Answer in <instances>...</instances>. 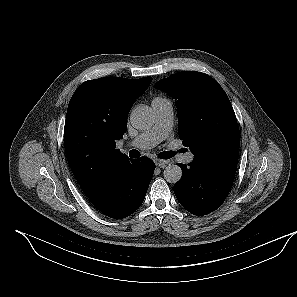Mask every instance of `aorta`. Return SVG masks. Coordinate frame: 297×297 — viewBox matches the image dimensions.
Wrapping results in <instances>:
<instances>
[{
    "label": "aorta",
    "mask_w": 297,
    "mask_h": 297,
    "mask_svg": "<svg viewBox=\"0 0 297 297\" xmlns=\"http://www.w3.org/2000/svg\"><path fill=\"white\" fill-rule=\"evenodd\" d=\"M130 121L134 128L145 130L154 123L152 110L147 106H138L130 114ZM164 178L169 183H177L182 178V170L178 165L169 164L163 172Z\"/></svg>",
    "instance_id": "obj_1"
}]
</instances>
